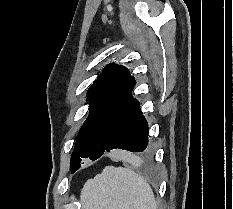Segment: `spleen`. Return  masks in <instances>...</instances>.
<instances>
[{"mask_svg":"<svg viewBox=\"0 0 233 209\" xmlns=\"http://www.w3.org/2000/svg\"><path fill=\"white\" fill-rule=\"evenodd\" d=\"M83 209H157L153 190L129 168L106 166L88 179L80 195Z\"/></svg>","mask_w":233,"mask_h":209,"instance_id":"1","label":"spleen"}]
</instances>
